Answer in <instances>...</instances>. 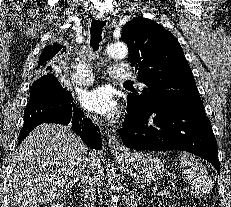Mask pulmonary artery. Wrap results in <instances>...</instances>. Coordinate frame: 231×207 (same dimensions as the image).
<instances>
[{
  "mask_svg": "<svg viewBox=\"0 0 231 207\" xmlns=\"http://www.w3.org/2000/svg\"><path fill=\"white\" fill-rule=\"evenodd\" d=\"M109 75L118 80H130L134 77L132 70L128 66L116 64L110 67ZM73 83L79 86L89 85L94 81L91 71L85 66H79L71 76Z\"/></svg>",
  "mask_w": 231,
  "mask_h": 207,
  "instance_id": "e3ab8cb5",
  "label": "pulmonary artery"
}]
</instances>
